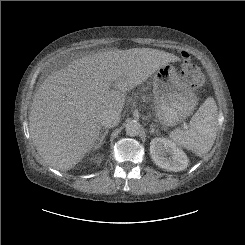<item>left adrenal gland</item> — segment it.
<instances>
[{
	"label": "left adrenal gland",
	"instance_id": "left-adrenal-gland-1",
	"mask_svg": "<svg viewBox=\"0 0 245 245\" xmlns=\"http://www.w3.org/2000/svg\"><path fill=\"white\" fill-rule=\"evenodd\" d=\"M158 133L155 126L153 124L150 125V134Z\"/></svg>",
	"mask_w": 245,
	"mask_h": 245
}]
</instances>
